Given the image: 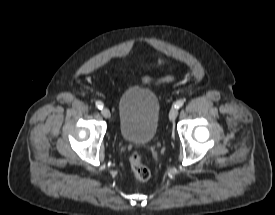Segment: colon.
I'll return each instance as SVG.
<instances>
[{"label":"colon","mask_w":275,"mask_h":215,"mask_svg":"<svg viewBox=\"0 0 275 215\" xmlns=\"http://www.w3.org/2000/svg\"><path fill=\"white\" fill-rule=\"evenodd\" d=\"M129 163L136 179L146 181L150 178L151 172L149 168L142 163L141 155L138 152H133L130 155Z\"/></svg>","instance_id":"1"}]
</instances>
